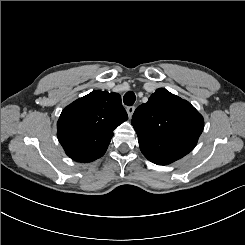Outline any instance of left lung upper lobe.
Returning a JSON list of instances; mask_svg holds the SVG:
<instances>
[{"instance_id":"obj_1","label":"left lung upper lobe","mask_w":245,"mask_h":245,"mask_svg":"<svg viewBox=\"0 0 245 245\" xmlns=\"http://www.w3.org/2000/svg\"><path fill=\"white\" fill-rule=\"evenodd\" d=\"M132 125L143 155L151 162L178 160L197 144L203 131L202 115L186 100L164 88L134 112Z\"/></svg>"}]
</instances>
